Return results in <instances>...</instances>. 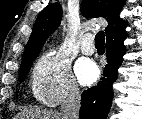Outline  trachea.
<instances>
[{"mask_svg":"<svg viewBox=\"0 0 142 119\" xmlns=\"http://www.w3.org/2000/svg\"><path fill=\"white\" fill-rule=\"evenodd\" d=\"M95 46L104 48L105 46V35L103 31H99L95 36Z\"/></svg>","mask_w":142,"mask_h":119,"instance_id":"3493384b","label":"trachea"}]
</instances>
